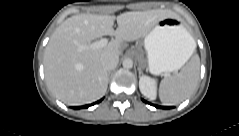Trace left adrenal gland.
I'll use <instances>...</instances> for the list:
<instances>
[{"instance_id":"left-adrenal-gland-1","label":"left adrenal gland","mask_w":239,"mask_h":136,"mask_svg":"<svg viewBox=\"0 0 239 136\" xmlns=\"http://www.w3.org/2000/svg\"><path fill=\"white\" fill-rule=\"evenodd\" d=\"M138 71H139V77L141 76V73H142V68L140 67V65H139V67H138Z\"/></svg>"}]
</instances>
